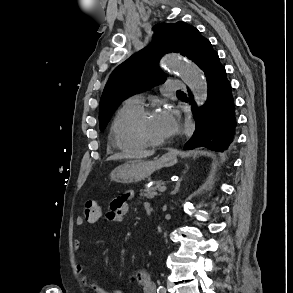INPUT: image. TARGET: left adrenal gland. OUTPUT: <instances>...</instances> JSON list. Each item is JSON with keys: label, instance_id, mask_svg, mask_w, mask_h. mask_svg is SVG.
I'll return each mask as SVG.
<instances>
[{"label": "left adrenal gland", "instance_id": "1", "mask_svg": "<svg viewBox=\"0 0 293 293\" xmlns=\"http://www.w3.org/2000/svg\"><path fill=\"white\" fill-rule=\"evenodd\" d=\"M181 181H182V178L180 180H178V182L176 183V186H175L174 190L171 192L172 195H175V194H177L179 192Z\"/></svg>", "mask_w": 293, "mask_h": 293}]
</instances>
